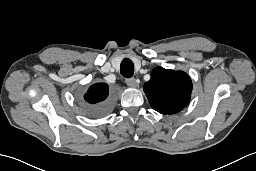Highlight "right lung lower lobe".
I'll return each instance as SVG.
<instances>
[{
	"label": "right lung lower lobe",
	"instance_id": "obj_1",
	"mask_svg": "<svg viewBox=\"0 0 256 171\" xmlns=\"http://www.w3.org/2000/svg\"><path fill=\"white\" fill-rule=\"evenodd\" d=\"M111 105H112L111 100L107 99L106 101L100 104L87 106L85 110L86 115L91 118H97V117L103 116L110 111Z\"/></svg>",
	"mask_w": 256,
	"mask_h": 171
}]
</instances>
